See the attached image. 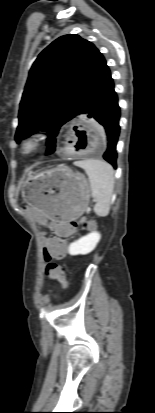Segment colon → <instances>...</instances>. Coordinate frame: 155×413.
Masks as SVG:
<instances>
[{"instance_id":"1","label":"colon","mask_w":155,"mask_h":413,"mask_svg":"<svg viewBox=\"0 0 155 413\" xmlns=\"http://www.w3.org/2000/svg\"><path fill=\"white\" fill-rule=\"evenodd\" d=\"M65 225L71 229H75L76 227L75 222H68L65 223ZM92 226V223L87 225V227ZM63 251L64 244L62 239L58 236H51L46 241L43 254L46 261V275L53 280L59 281L60 286L66 288L68 286V275L64 273V268L53 260L62 258Z\"/></svg>"}]
</instances>
